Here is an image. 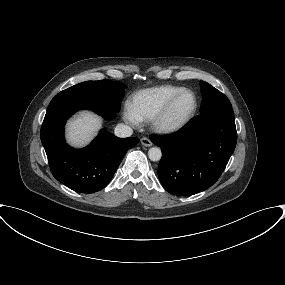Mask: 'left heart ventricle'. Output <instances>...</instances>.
Here are the masks:
<instances>
[{"mask_svg":"<svg viewBox=\"0 0 285 285\" xmlns=\"http://www.w3.org/2000/svg\"><path fill=\"white\" fill-rule=\"evenodd\" d=\"M193 97L190 94L182 96L173 107L170 120L177 121L183 118L193 106Z\"/></svg>","mask_w":285,"mask_h":285,"instance_id":"obj_1","label":"left heart ventricle"}]
</instances>
